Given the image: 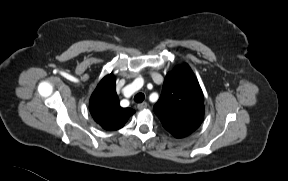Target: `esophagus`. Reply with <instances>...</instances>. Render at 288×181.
Instances as JSON below:
<instances>
[{"mask_svg": "<svg viewBox=\"0 0 288 181\" xmlns=\"http://www.w3.org/2000/svg\"><path fill=\"white\" fill-rule=\"evenodd\" d=\"M147 107H148L147 102H143V103H140V104L137 105V108H138L139 110L145 109V108H147Z\"/></svg>", "mask_w": 288, "mask_h": 181, "instance_id": "esophagus-1", "label": "esophagus"}]
</instances>
